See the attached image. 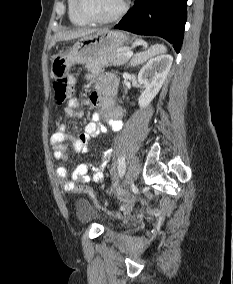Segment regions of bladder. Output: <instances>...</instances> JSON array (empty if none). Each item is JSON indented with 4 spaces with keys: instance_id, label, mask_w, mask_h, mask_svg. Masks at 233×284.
<instances>
[{
    "instance_id": "31cf9c89",
    "label": "bladder",
    "mask_w": 233,
    "mask_h": 284,
    "mask_svg": "<svg viewBox=\"0 0 233 284\" xmlns=\"http://www.w3.org/2000/svg\"><path fill=\"white\" fill-rule=\"evenodd\" d=\"M74 213L77 220L81 223H89L99 219L98 214L90 201L79 198L74 203ZM99 222L105 229L112 227V223L107 219H99Z\"/></svg>"
}]
</instances>
